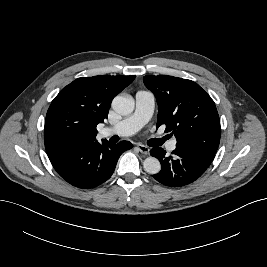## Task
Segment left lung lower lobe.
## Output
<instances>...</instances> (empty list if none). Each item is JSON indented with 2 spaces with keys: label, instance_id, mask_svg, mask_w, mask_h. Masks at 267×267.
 <instances>
[{
  "label": "left lung lower lobe",
  "instance_id": "obj_1",
  "mask_svg": "<svg viewBox=\"0 0 267 267\" xmlns=\"http://www.w3.org/2000/svg\"><path fill=\"white\" fill-rule=\"evenodd\" d=\"M216 151L203 147L176 145L173 155L166 156L162 148H153L150 154L161 163V171L153 177L170 187H181L197 180L209 167Z\"/></svg>",
  "mask_w": 267,
  "mask_h": 267
}]
</instances>
